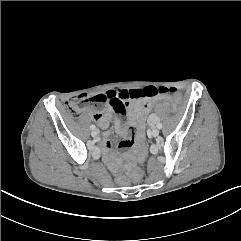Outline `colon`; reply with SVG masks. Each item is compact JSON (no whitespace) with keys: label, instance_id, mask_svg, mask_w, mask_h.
<instances>
[{"label":"colon","instance_id":"1","mask_svg":"<svg viewBox=\"0 0 241 241\" xmlns=\"http://www.w3.org/2000/svg\"><path fill=\"white\" fill-rule=\"evenodd\" d=\"M156 89V95L165 94L168 92L175 93V90H169L166 88ZM137 95L138 90L136 88L127 90H110L108 93H103L95 96L81 94L73 97L66 103V110L69 115L76 117L87 108H99L104 104H110L114 106L117 113L123 115L125 113L126 101L128 99L135 98ZM164 103L170 106L171 111L177 110V103L171 97H165ZM119 181L123 183V179L121 177H119Z\"/></svg>","mask_w":241,"mask_h":241}]
</instances>
